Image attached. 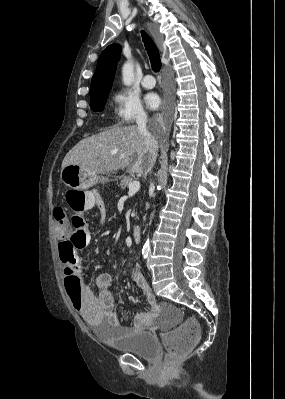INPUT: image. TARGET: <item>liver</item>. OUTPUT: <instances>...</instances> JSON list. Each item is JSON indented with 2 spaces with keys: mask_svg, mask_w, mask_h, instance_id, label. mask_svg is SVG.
Returning <instances> with one entry per match:
<instances>
[{
  "mask_svg": "<svg viewBox=\"0 0 285 399\" xmlns=\"http://www.w3.org/2000/svg\"><path fill=\"white\" fill-rule=\"evenodd\" d=\"M157 151L158 143L156 156ZM67 165H78L94 175L125 167L133 173L146 174L151 154L137 126L113 127L78 142L63 159L62 168Z\"/></svg>",
  "mask_w": 285,
  "mask_h": 399,
  "instance_id": "1",
  "label": "liver"
}]
</instances>
